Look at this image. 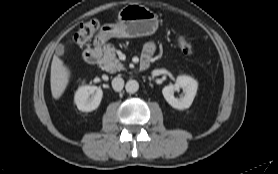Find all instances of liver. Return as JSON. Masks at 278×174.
I'll return each mask as SVG.
<instances>
[{
  "label": "liver",
  "instance_id": "1",
  "mask_svg": "<svg viewBox=\"0 0 278 174\" xmlns=\"http://www.w3.org/2000/svg\"><path fill=\"white\" fill-rule=\"evenodd\" d=\"M71 72L69 68L64 65V62L57 54L53 56L51 63L50 84L51 92L54 99H59L68 86Z\"/></svg>",
  "mask_w": 278,
  "mask_h": 174
}]
</instances>
